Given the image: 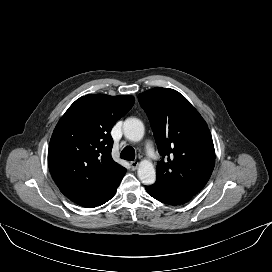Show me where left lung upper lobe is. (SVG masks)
<instances>
[{"label": "left lung upper lobe", "instance_id": "obj_1", "mask_svg": "<svg viewBox=\"0 0 272 272\" xmlns=\"http://www.w3.org/2000/svg\"><path fill=\"white\" fill-rule=\"evenodd\" d=\"M138 100L162 155L151 186L196 195L208 182L215 164L206 122L183 95L170 88L150 89L139 94Z\"/></svg>", "mask_w": 272, "mask_h": 272}]
</instances>
